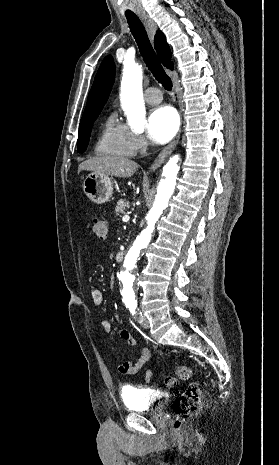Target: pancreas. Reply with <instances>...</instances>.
<instances>
[{
	"label": "pancreas",
	"mask_w": 279,
	"mask_h": 465,
	"mask_svg": "<svg viewBox=\"0 0 279 465\" xmlns=\"http://www.w3.org/2000/svg\"><path fill=\"white\" fill-rule=\"evenodd\" d=\"M129 208H130L129 202L126 201V200L120 199L117 202V207L115 208V213H116V215L125 214V212Z\"/></svg>",
	"instance_id": "cf45deb5"
}]
</instances>
